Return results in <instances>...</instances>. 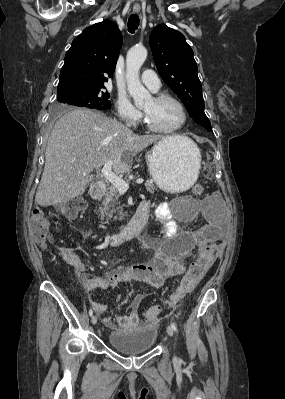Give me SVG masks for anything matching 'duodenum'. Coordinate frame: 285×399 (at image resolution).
Returning <instances> with one entry per match:
<instances>
[{
	"label": "duodenum",
	"instance_id": "410a0bca",
	"mask_svg": "<svg viewBox=\"0 0 285 399\" xmlns=\"http://www.w3.org/2000/svg\"><path fill=\"white\" fill-rule=\"evenodd\" d=\"M104 193L105 187L102 184H94L90 188V194L95 200L101 199ZM147 217V207L145 205H139L132 219L122 229L106 233L104 239L112 245H117L133 239H140Z\"/></svg>",
	"mask_w": 285,
	"mask_h": 399
}]
</instances>
